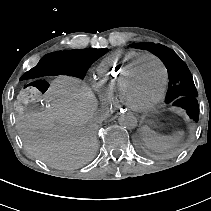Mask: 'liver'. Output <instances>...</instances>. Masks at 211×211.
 Listing matches in <instances>:
<instances>
[{
    "mask_svg": "<svg viewBox=\"0 0 211 211\" xmlns=\"http://www.w3.org/2000/svg\"><path fill=\"white\" fill-rule=\"evenodd\" d=\"M50 107L19 115L17 131L26 149L58 169L87 164L98 149L97 103L79 79L59 77L48 90Z\"/></svg>",
    "mask_w": 211,
    "mask_h": 211,
    "instance_id": "6515ba94",
    "label": "liver"
}]
</instances>
